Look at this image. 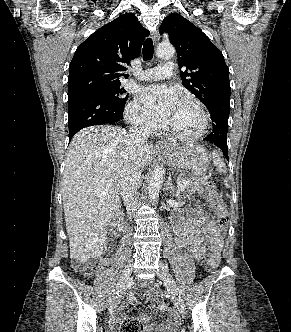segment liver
<instances>
[{"instance_id":"liver-1","label":"liver","mask_w":291,"mask_h":332,"mask_svg":"<svg viewBox=\"0 0 291 332\" xmlns=\"http://www.w3.org/2000/svg\"><path fill=\"white\" fill-rule=\"evenodd\" d=\"M129 133L109 125L91 126L71 140L62 182L70 257L86 262L101 257L107 226L121 207V179ZM156 155L142 148V168Z\"/></svg>"}]
</instances>
